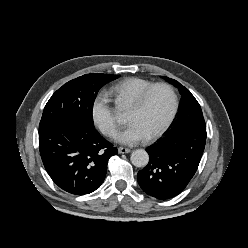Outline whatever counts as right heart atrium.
<instances>
[{
  "mask_svg": "<svg viewBox=\"0 0 248 248\" xmlns=\"http://www.w3.org/2000/svg\"><path fill=\"white\" fill-rule=\"evenodd\" d=\"M91 118L94 125L107 136H111L117 129L111 99L108 93L99 92L91 104Z\"/></svg>",
  "mask_w": 248,
  "mask_h": 248,
  "instance_id": "d8ad5b80",
  "label": "right heart atrium"
}]
</instances>
